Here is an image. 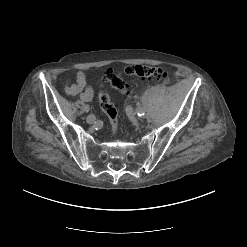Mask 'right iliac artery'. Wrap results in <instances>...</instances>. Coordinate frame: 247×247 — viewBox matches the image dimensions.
<instances>
[{
	"label": "right iliac artery",
	"mask_w": 247,
	"mask_h": 247,
	"mask_svg": "<svg viewBox=\"0 0 247 247\" xmlns=\"http://www.w3.org/2000/svg\"><path fill=\"white\" fill-rule=\"evenodd\" d=\"M82 109H83L84 111H89L90 106H89L88 104H84V105L82 106ZM94 117H95V116H94Z\"/></svg>",
	"instance_id": "right-iliac-artery-1"
}]
</instances>
